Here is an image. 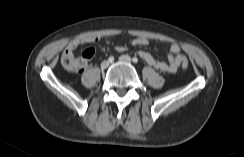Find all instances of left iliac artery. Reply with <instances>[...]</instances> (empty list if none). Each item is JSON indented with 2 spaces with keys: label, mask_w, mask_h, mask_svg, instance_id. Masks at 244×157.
Listing matches in <instances>:
<instances>
[{
  "label": "left iliac artery",
  "mask_w": 244,
  "mask_h": 157,
  "mask_svg": "<svg viewBox=\"0 0 244 157\" xmlns=\"http://www.w3.org/2000/svg\"><path fill=\"white\" fill-rule=\"evenodd\" d=\"M133 62L134 63H138V58L137 57H133Z\"/></svg>",
  "instance_id": "44dca946"
}]
</instances>
